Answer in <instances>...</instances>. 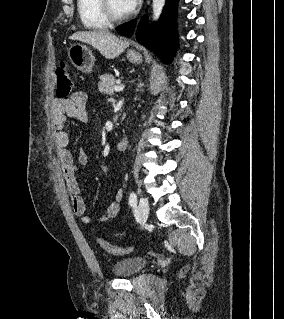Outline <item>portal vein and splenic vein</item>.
<instances>
[{
	"label": "portal vein and splenic vein",
	"mask_w": 284,
	"mask_h": 319,
	"mask_svg": "<svg viewBox=\"0 0 284 319\" xmlns=\"http://www.w3.org/2000/svg\"><path fill=\"white\" fill-rule=\"evenodd\" d=\"M123 87L122 86H115L114 87V90L116 91V92H120V91H123Z\"/></svg>",
	"instance_id": "18ae733b"
}]
</instances>
